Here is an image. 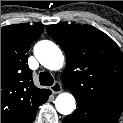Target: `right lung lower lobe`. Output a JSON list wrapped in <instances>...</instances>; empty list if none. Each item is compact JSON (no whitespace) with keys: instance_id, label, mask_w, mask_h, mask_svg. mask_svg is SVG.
<instances>
[{"instance_id":"right-lung-lower-lobe-1","label":"right lung lower lobe","mask_w":123,"mask_h":123,"mask_svg":"<svg viewBox=\"0 0 123 123\" xmlns=\"http://www.w3.org/2000/svg\"><path fill=\"white\" fill-rule=\"evenodd\" d=\"M50 94H51V92H49V94L47 95L45 102L47 101ZM35 115H36V112L31 116V118H29L28 121H26V123H33V121L35 119Z\"/></svg>"}]
</instances>
